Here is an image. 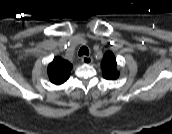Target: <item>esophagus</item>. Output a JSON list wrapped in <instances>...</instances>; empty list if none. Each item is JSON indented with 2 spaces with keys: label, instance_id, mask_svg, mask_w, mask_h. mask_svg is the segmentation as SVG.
<instances>
[{
  "label": "esophagus",
  "instance_id": "34e87169",
  "mask_svg": "<svg viewBox=\"0 0 172 134\" xmlns=\"http://www.w3.org/2000/svg\"><path fill=\"white\" fill-rule=\"evenodd\" d=\"M81 61L84 64H91L93 62V58L91 56L84 55V56H82Z\"/></svg>",
  "mask_w": 172,
  "mask_h": 134
}]
</instances>
